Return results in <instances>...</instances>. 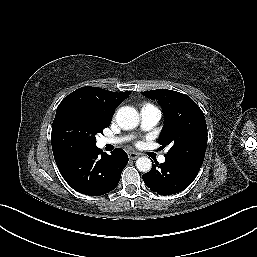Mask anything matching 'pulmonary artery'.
Segmentation results:
<instances>
[{
	"label": "pulmonary artery",
	"mask_w": 257,
	"mask_h": 257,
	"mask_svg": "<svg viewBox=\"0 0 257 257\" xmlns=\"http://www.w3.org/2000/svg\"><path fill=\"white\" fill-rule=\"evenodd\" d=\"M141 128L143 130H150L154 128L161 119V111L154 106L143 107L140 111ZM129 137H119V138H107L104 137L101 140L103 145L106 144H119L127 141ZM160 163L165 162V156L161 155L158 157Z\"/></svg>",
	"instance_id": "pulmonary-artery-1"
}]
</instances>
